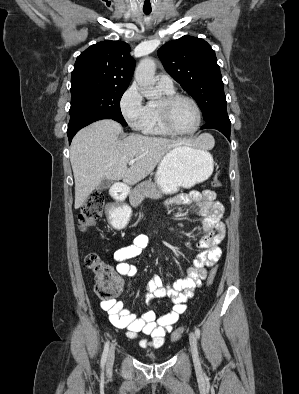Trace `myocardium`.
<instances>
[{
    "label": "myocardium",
    "instance_id": "obj_1",
    "mask_svg": "<svg viewBox=\"0 0 299 394\" xmlns=\"http://www.w3.org/2000/svg\"><path fill=\"white\" fill-rule=\"evenodd\" d=\"M189 101L196 110L197 122L195 127L190 131H179L177 130L171 120V109L173 105L179 100ZM158 113L162 126L164 129L173 135H191L194 134L200 127L202 122V112L198 103L190 96L184 94H173L169 96H164L163 99L158 104Z\"/></svg>",
    "mask_w": 299,
    "mask_h": 394
}]
</instances>
